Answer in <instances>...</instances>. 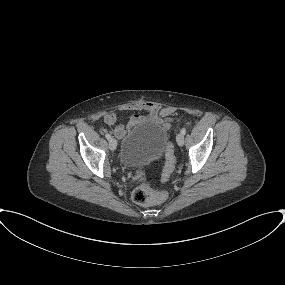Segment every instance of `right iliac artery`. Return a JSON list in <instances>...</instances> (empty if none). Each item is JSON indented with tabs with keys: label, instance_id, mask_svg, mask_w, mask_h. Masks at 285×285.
Wrapping results in <instances>:
<instances>
[{
	"label": "right iliac artery",
	"instance_id": "82829eb1",
	"mask_svg": "<svg viewBox=\"0 0 285 285\" xmlns=\"http://www.w3.org/2000/svg\"><path fill=\"white\" fill-rule=\"evenodd\" d=\"M105 137H106L107 140L111 139V135L110 134H106Z\"/></svg>",
	"mask_w": 285,
	"mask_h": 285
}]
</instances>
